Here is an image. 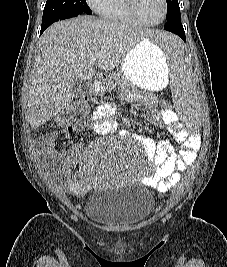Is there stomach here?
Listing matches in <instances>:
<instances>
[{"mask_svg": "<svg viewBox=\"0 0 227 267\" xmlns=\"http://www.w3.org/2000/svg\"><path fill=\"white\" fill-rule=\"evenodd\" d=\"M121 72L134 85L152 91L163 89L169 80L166 55H162L151 38L143 39L129 51L121 64Z\"/></svg>", "mask_w": 227, "mask_h": 267, "instance_id": "0dacf381", "label": "stomach"}]
</instances>
